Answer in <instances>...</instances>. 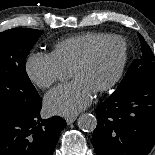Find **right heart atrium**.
I'll return each mask as SVG.
<instances>
[{
	"instance_id": "right-heart-atrium-1",
	"label": "right heart atrium",
	"mask_w": 155,
	"mask_h": 155,
	"mask_svg": "<svg viewBox=\"0 0 155 155\" xmlns=\"http://www.w3.org/2000/svg\"><path fill=\"white\" fill-rule=\"evenodd\" d=\"M25 70L30 81L41 89L49 88L58 82L64 71L51 54L40 53L29 55Z\"/></svg>"
}]
</instances>
